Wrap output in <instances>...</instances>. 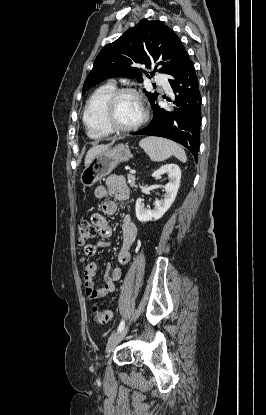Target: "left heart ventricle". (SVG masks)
Returning a JSON list of instances; mask_svg holds the SVG:
<instances>
[{
	"mask_svg": "<svg viewBox=\"0 0 266 415\" xmlns=\"http://www.w3.org/2000/svg\"><path fill=\"white\" fill-rule=\"evenodd\" d=\"M142 116V107L138 99L131 95H122L115 106V119L122 126L137 123Z\"/></svg>",
	"mask_w": 266,
	"mask_h": 415,
	"instance_id": "left-heart-ventricle-1",
	"label": "left heart ventricle"
}]
</instances>
